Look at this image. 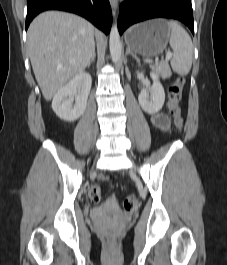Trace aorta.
<instances>
[{"label":"aorta","instance_id":"aorta-1","mask_svg":"<svg viewBox=\"0 0 227 265\" xmlns=\"http://www.w3.org/2000/svg\"><path fill=\"white\" fill-rule=\"evenodd\" d=\"M109 48H110V54H111V59L113 63H117L121 57L122 44L120 41V35H119L117 25L115 24L111 27Z\"/></svg>","mask_w":227,"mask_h":265}]
</instances>
